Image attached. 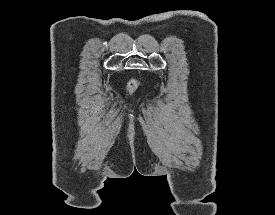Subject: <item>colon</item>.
Here are the masks:
<instances>
[{
    "label": "colon",
    "mask_w": 275,
    "mask_h": 215,
    "mask_svg": "<svg viewBox=\"0 0 275 215\" xmlns=\"http://www.w3.org/2000/svg\"><path fill=\"white\" fill-rule=\"evenodd\" d=\"M137 87H138V84H137V82H136L135 80H131V81L128 83V86H127L128 91H130V92L135 91V90L137 89Z\"/></svg>",
    "instance_id": "colon-1"
}]
</instances>
